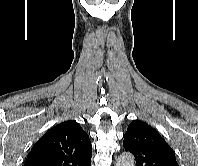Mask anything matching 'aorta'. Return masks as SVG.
Segmentation results:
<instances>
[{
    "mask_svg": "<svg viewBox=\"0 0 198 166\" xmlns=\"http://www.w3.org/2000/svg\"><path fill=\"white\" fill-rule=\"evenodd\" d=\"M116 166H135L134 156L129 152L122 153L117 160Z\"/></svg>",
    "mask_w": 198,
    "mask_h": 166,
    "instance_id": "1",
    "label": "aorta"
}]
</instances>
